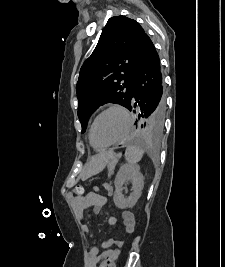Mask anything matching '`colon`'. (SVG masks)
I'll return each instance as SVG.
<instances>
[{"mask_svg":"<svg viewBox=\"0 0 225 267\" xmlns=\"http://www.w3.org/2000/svg\"><path fill=\"white\" fill-rule=\"evenodd\" d=\"M83 194H84V187L83 186L78 185L73 189V195L75 197L81 198L83 196ZM106 267H115L114 261L113 260L107 261Z\"/></svg>","mask_w":225,"mask_h":267,"instance_id":"5ec220e1","label":"colon"}]
</instances>
